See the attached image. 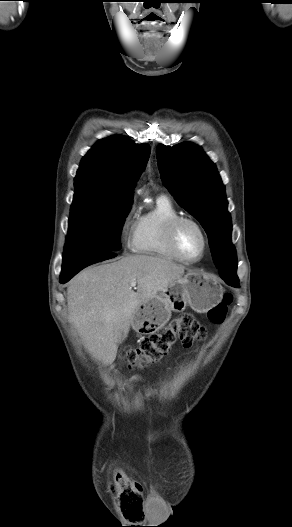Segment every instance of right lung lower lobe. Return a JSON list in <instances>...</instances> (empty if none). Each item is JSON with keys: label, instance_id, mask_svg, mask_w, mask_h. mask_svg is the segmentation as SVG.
<instances>
[{"label": "right lung lower lobe", "instance_id": "right-lung-lower-lobe-1", "mask_svg": "<svg viewBox=\"0 0 292 527\" xmlns=\"http://www.w3.org/2000/svg\"><path fill=\"white\" fill-rule=\"evenodd\" d=\"M115 256L116 254L108 251L63 255L60 283L64 284L65 282L70 280L75 274H77L80 270L91 264L111 259Z\"/></svg>", "mask_w": 292, "mask_h": 527}]
</instances>
